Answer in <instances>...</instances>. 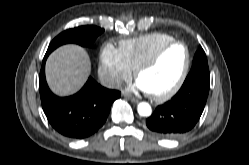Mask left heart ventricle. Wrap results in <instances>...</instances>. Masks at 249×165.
Returning <instances> with one entry per match:
<instances>
[{
	"instance_id": "1",
	"label": "left heart ventricle",
	"mask_w": 249,
	"mask_h": 165,
	"mask_svg": "<svg viewBox=\"0 0 249 165\" xmlns=\"http://www.w3.org/2000/svg\"><path fill=\"white\" fill-rule=\"evenodd\" d=\"M186 59L184 46L176 44L168 48L161 58L143 71L137 78L149 93H163L174 86Z\"/></svg>"
}]
</instances>
